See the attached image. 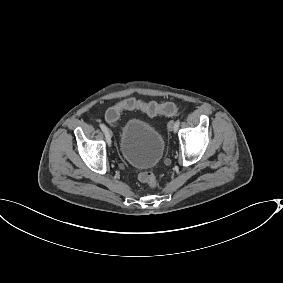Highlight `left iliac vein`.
I'll return each mask as SVG.
<instances>
[{
    "label": "left iliac vein",
    "mask_w": 283,
    "mask_h": 283,
    "mask_svg": "<svg viewBox=\"0 0 283 283\" xmlns=\"http://www.w3.org/2000/svg\"><path fill=\"white\" fill-rule=\"evenodd\" d=\"M174 121H170L169 123H168V130L169 131H173L174 130Z\"/></svg>",
    "instance_id": "4c4485c4"
}]
</instances>
